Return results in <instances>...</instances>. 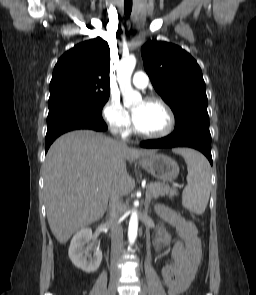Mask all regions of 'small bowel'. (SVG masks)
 Wrapping results in <instances>:
<instances>
[{"label": "small bowel", "instance_id": "1", "mask_svg": "<svg viewBox=\"0 0 256 295\" xmlns=\"http://www.w3.org/2000/svg\"><path fill=\"white\" fill-rule=\"evenodd\" d=\"M161 224L157 231L155 244L165 248L170 240L168 226L174 227L180 241L172 250V259L161 269V278L168 295H180L190 285L201 258V244L195 225L174 210L160 206L157 209Z\"/></svg>", "mask_w": 256, "mask_h": 295}]
</instances>
